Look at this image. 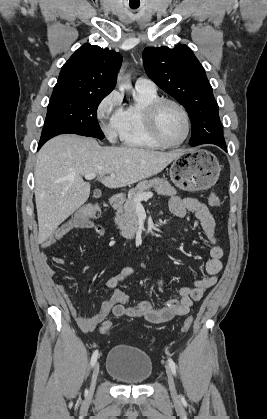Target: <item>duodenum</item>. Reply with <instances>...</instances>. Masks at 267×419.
I'll use <instances>...</instances> for the list:
<instances>
[{"mask_svg": "<svg viewBox=\"0 0 267 419\" xmlns=\"http://www.w3.org/2000/svg\"><path fill=\"white\" fill-rule=\"evenodd\" d=\"M110 206L112 208H118L123 203V196L122 195H114L109 200ZM144 240H147V238H144Z\"/></svg>", "mask_w": 267, "mask_h": 419, "instance_id": "410a0bca", "label": "duodenum"}]
</instances>
